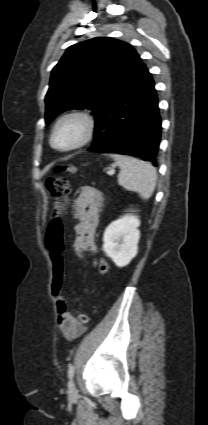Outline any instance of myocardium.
<instances>
[{
    "mask_svg": "<svg viewBox=\"0 0 208 425\" xmlns=\"http://www.w3.org/2000/svg\"><path fill=\"white\" fill-rule=\"evenodd\" d=\"M76 121L81 125V133L76 141L67 145V146H58L55 144V137L60 127L68 122ZM96 120L94 117L85 111L74 110L63 114L58 120L55 122L51 135H50V144L51 146L59 151H72L79 148L84 147L88 143H90L95 134H96Z\"/></svg>",
    "mask_w": 208,
    "mask_h": 425,
    "instance_id": "myocardium-1",
    "label": "myocardium"
}]
</instances>
